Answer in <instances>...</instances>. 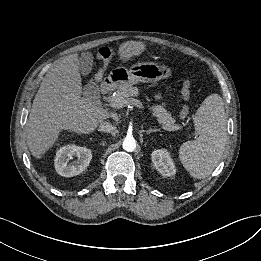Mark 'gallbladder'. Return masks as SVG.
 <instances>
[{
    "label": "gallbladder",
    "instance_id": "bac80fb5",
    "mask_svg": "<svg viewBox=\"0 0 261 261\" xmlns=\"http://www.w3.org/2000/svg\"><path fill=\"white\" fill-rule=\"evenodd\" d=\"M93 57L90 54H82L79 60V70L82 75H88L92 70ZM85 98H88L92 102H96L99 95L98 85L94 82L88 83L83 89Z\"/></svg>",
    "mask_w": 261,
    "mask_h": 261
}]
</instances>
